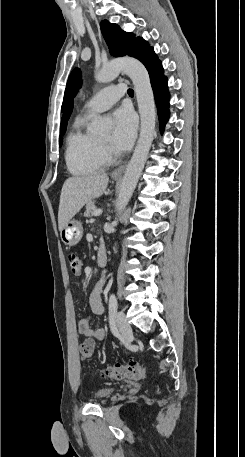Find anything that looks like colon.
Wrapping results in <instances>:
<instances>
[{"mask_svg": "<svg viewBox=\"0 0 245 457\" xmlns=\"http://www.w3.org/2000/svg\"><path fill=\"white\" fill-rule=\"evenodd\" d=\"M67 262L73 275L78 276L82 272V261L75 252L67 253ZM80 355L83 359H91L94 354V342L91 339L83 341L79 346ZM103 376L112 380L142 379L145 376V368L138 362L117 364L103 371Z\"/></svg>", "mask_w": 245, "mask_h": 457, "instance_id": "obj_1", "label": "colon"}]
</instances>
